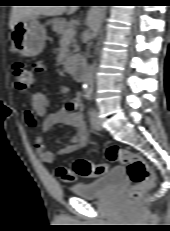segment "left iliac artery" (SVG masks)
<instances>
[{"mask_svg": "<svg viewBox=\"0 0 170 231\" xmlns=\"http://www.w3.org/2000/svg\"><path fill=\"white\" fill-rule=\"evenodd\" d=\"M91 95H92V91L91 90L87 91L86 95H85L86 100H90L91 99Z\"/></svg>", "mask_w": 170, "mask_h": 231, "instance_id": "1", "label": "left iliac artery"}]
</instances>
